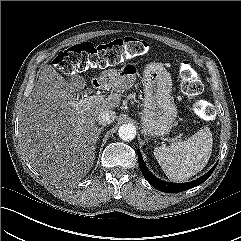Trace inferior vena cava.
<instances>
[{"label": "inferior vena cava", "mask_w": 241, "mask_h": 241, "mask_svg": "<svg viewBox=\"0 0 241 241\" xmlns=\"http://www.w3.org/2000/svg\"><path fill=\"white\" fill-rule=\"evenodd\" d=\"M115 118H116L115 111L109 110V109H102L98 111L95 115L96 122H98L100 125H103V126L112 123Z\"/></svg>", "instance_id": "inferior-vena-cava-1"}]
</instances>
